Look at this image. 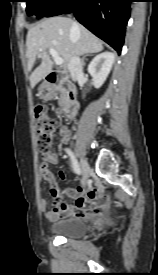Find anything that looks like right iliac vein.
Segmentation results:
<instances>
[{"instance_id":"obj_1","label":"right iliac vein","mask_w":158,"mask_h":275,"mask_svg":"<svg viewBox=\"0 0 158 275\" xmlns=\"http://www.w3.org/2000/svg\"><path fill=\"white\" fill-rule=\"evenodd\" d=\"M81 168L83 173V180H84V183H86L89 178L91 169L87 160L84 158L81 159Z\"/></svg>"}]
</instances>
